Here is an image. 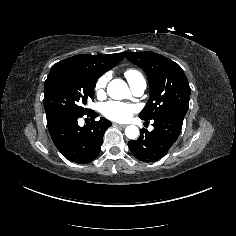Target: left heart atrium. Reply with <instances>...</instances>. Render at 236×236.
<instances>
[{
  "label": "left heart atrium",
  "mask_w": 236,
  "mask_h": 236,
  "mask_svg": "<svg viewBox=\"0 0 236 236\" xmlns=\"http://www.w3.org/2000/svg\"><path fill=\"white\" fill-rule=\"evenodd\" d=\"M137 108L129 103L109 101L101 106V113L104 117L112 121H125L130 118Z\"/></svg>",
  "instance_id": "39dd6f15"
}]
</instances>
